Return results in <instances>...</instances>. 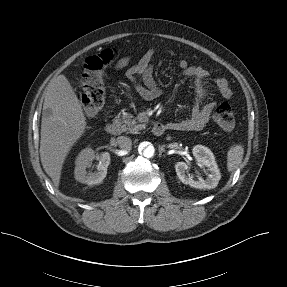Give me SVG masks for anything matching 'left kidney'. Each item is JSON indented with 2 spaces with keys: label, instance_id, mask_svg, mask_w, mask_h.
<instances>
[{
  "label": "left kidney",
  "instance_id": "1",
  "mask_svg": "<svg viewBox=\"0 0 287 287\" xmlns=\"http://www.w3.org/2000/svg\"><path fill=\"white\" fill-rule=\"evenodd\" d=\"M192 153L198 164L206 167L209 171L207 178L205 180L202 178L194 180L193 176L186 174V171L189 168L188 164L185 162H177L175 164V170L178 178L183 184L189 185L195 189L209 190L215 188L218 185L221 175L213 153L209 148L202 145L194 146Z\"/></svg>",
  "mask_w": 287,
  "mask_h": 287
}]
</instances>
